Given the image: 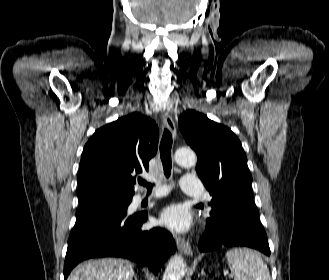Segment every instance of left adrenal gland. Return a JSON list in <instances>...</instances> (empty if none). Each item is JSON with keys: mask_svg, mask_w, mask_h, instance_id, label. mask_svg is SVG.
<instances>
[{"mask_svg": "<svg viewBox=\"0 0 329 280\" xmlns=\"http://www.w3.org/2000/svg\"><path fill=\"white\" fill-rule=\"evenodd\" d=\"M200 275H204V270H203V269L201 270ZM200 275H199V276H200Z\"/></svg>", "mask_w": 329, "mask_h": 280, "instance_id": "a2214340", "label": "left adrenal gland"}]
</instances>
